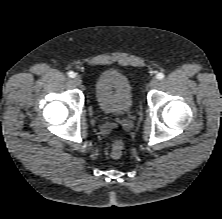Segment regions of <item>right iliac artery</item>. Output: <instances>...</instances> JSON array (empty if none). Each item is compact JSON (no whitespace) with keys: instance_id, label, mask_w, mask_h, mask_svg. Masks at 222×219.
<instances>
[{"instance_id":"right-iliac-artery-1","label":"right iliac artery","mask_w":222,"mask_h":219,"mask_svg":"<svg viewBox=\"0 0 222 219\" xmlns=\"http://www.w3.org/2000/svg\"><path fill=\"white\" fill-rule=\"evenodd\" d=\"M75 75H76V74H75L73 71L68 72V76H69L70 78H74Z\"/></svg>"}]
</instances>
